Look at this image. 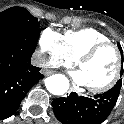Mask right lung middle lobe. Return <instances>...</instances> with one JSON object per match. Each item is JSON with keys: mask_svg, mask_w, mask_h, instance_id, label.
Returning a JSON list of instances; mask_svg holds the SVG:
<instances>
[{"mask_svg": "<svg viewBox=\"0 0 124 124\" xmlns=\"http://www.w3.org/2000/svg\"><path fill=\"white\" fill-rule=\"evenodd\" d=\"M40 23L23 7H11L0 13V32L37 30Z\"/></svg>", "mask_w": 124, "mask_h": 124, "instance_id": "obj_1", "label": "right lung middle lobe"}]
</instances>
